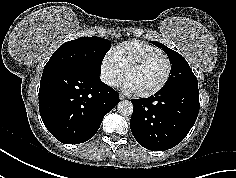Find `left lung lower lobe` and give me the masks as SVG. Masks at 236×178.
<instances>
[{
  "instance_id": "obj_1",
  "label": "left lung lower lobe",
  "mask_w": 236,
  "mask_h": 178,
  "mask_svg": "<svg viewBox=\"0 0 236 178\" xmlns=\"http://www.w3.org/2000/svg\"><path fill=\"white\" fill-rule=\"evenodd\" d=\"M131 102L134 138L148 150L164 151L179 144L194 125L199 91L198 86L163 87L154 96Z\"/></svg>"
}]
</instances>
